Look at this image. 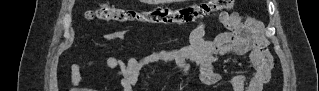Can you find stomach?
Listing matches in <instances>:
<instances>
[{
	"label": "stomach",
	"instance_id": "stomach-1",
	"mask_svg": "<svg viewBox=\"0 0 319 91\" xmlns=\"http://www.w3.org/2000/svg\"><path fill=\"white\" fill-rule=\"evenodd\" d=\"M165 0H148V2H155V3H159V2H163Z\"/></svg>",
	"mask_w": 319,
	"mask_h": 91
}]
</instances>
